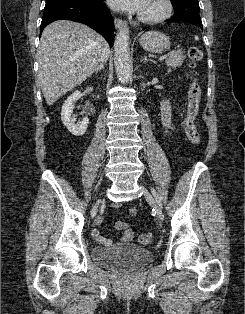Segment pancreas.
<instances>
[{"label":"pancreas","mask_w":245,"mask_h":314,"mask_svg":"<svg viewBox=\"0 0 245 314\" xmlns=\"http://www.w3.org/2000/svg\"><path fill=\"white\" fill-rule=\"evenodd\" d=\"M184 59L185 55L181 50H176L170 53L169 57L165 61V63L169 67L168 72H170L171 69H176L177 67H180Z\"/></svg>","instance_id":"pancreas-1"}]
</instances>
